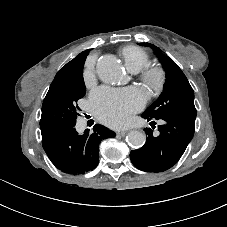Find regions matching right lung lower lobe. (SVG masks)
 I'll return each mask as SVG.
<instances>
[{"instance_id":"right-lung-lower-lobe-1","label":"right lung lower lobe","mask_w":227,"mask_h":227,"mask_svg":"<svg viewBox=\"0 0 227 227\" xmlns=\"http://www.w3.org/2000/svg\"><path fill=\"white\" fill-rule=\"evenodd\" d=\"M75 125L54 128L42 135L43 148L55 165L70 175L84 174L96 168L99 162V144L116 134L103 125L96 124L93 132L78 134Z\"/></svg>"}]
</instances>
